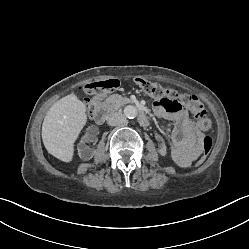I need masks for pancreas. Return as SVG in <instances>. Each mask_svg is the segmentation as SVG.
Here are the masks:
<instances>
[{
    "mask_svg": "<svg viewBox=\"0 0 249 249\" xmlns=\"http://www.w3.org/2000/svg\"><path fill=\"white\" fill-rule=\"evenodd\" d=\"M130 102H131V100L127 97H123V96L118 95V94H113L106 99L105 104H108V105L111 104L114 107H120L121 105H124L126 103H130Z\"/></svg>",
    "mask_w": 249,
    "mask_h": 249,
    "instance_id": "1",
    "label": "pancreas"
}]
</instances>
